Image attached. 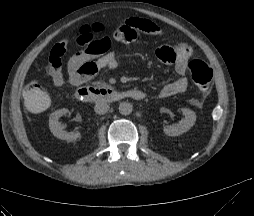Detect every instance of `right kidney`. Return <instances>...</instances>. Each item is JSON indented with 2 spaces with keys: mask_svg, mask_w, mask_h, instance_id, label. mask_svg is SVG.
Segmentation results:
<instances>
[{
  "mask_svg": "<svg viewBox=\"0 0 254 216\" xmlns=\"http://www.w3.org/2000/svg\"><path fill=\"white\" fill-rule=\"evenodd\" d=\"M68 113V109H59L51 113L49 117V127L55 137L69 142L75 141L80 137L79 132H66L59 122V118Z\"/></svg>",
  "mask_w": 254,
  "mask_h": 216,
  "instance_id": "1",
  "label": "right kidney"
}]
</instances>
